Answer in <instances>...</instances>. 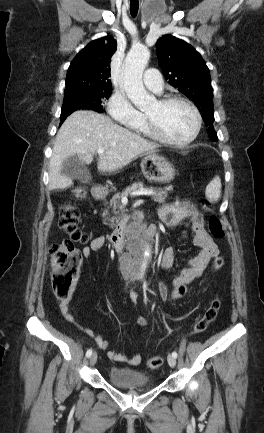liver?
Returning a JSON list of instances; mask_svg holds the SVG:
<instances>
[{
	"label": "liver",
	"instance_id": "liver-1",
	"mask_svg": "<svg viewBox=\"0 0 264 433\" xmlns=\"http://www.w3.org/2000/svg\"><path fill=\"white\" fill-rule=\"evenodd\" d=\"M158 147L115 124L108 116L89 110L76 111L64 121L56 135L50 158L49 189L72 185V179L61 173L64 160L70 156L76 155L83 164L89 165L97 150L104 149L97 167L101 172L112 173L139 156L154 154Z\"/></svg>",
	"mask_w": 264,
	"mask_h": 433
}]
</instances>
